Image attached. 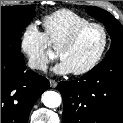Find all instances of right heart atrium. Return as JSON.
Here are the masks:
<instances>
[{
    "instance_id": "d8ad5b80",
    "label": "right heart atrium",
    "mask_w": 123,
    "mask_h": 123,
    "mask_svg": "<svg viewBox=\"0 0 123 123\" xmlns=\"http://www.w3.org/2000/svg\"><path fill=\"white\" fill-rule=\"evenodd\" d=\"M19 45L28 65L36 71H44L51 58L48 41L44 33L34 23L23 29Z\"/></svg>"
}]
</instances>
